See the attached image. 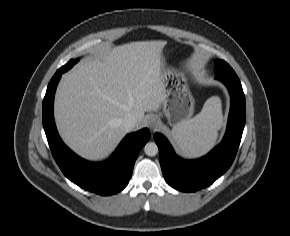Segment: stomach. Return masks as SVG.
<instances>
[{
	"instance_id": "0dacf381",
	"label": "stomach",
	"mask_w": 290,
	"mask_h": 236,
	"mask_svg": "<svg viewBox=\"0 0 290 236\" xmlns=\"http://www.w3.org/2000/svg\"><path fill=\"white\" fill-rule=\"evenodd\" d=\"M161 76L165 89L162 110L169 124L176 126L192 116L195 101L183 73L174 68L163 67Z\"/></svg>"
}]
</instances>
